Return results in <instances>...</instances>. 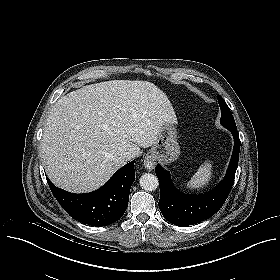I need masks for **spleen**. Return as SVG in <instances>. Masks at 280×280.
<instances>
[{
  "mask_svg": "<svg viewBox=\"0 0 280 280\" xmlns=\"http://www.w3.org/2000/svg\"><path fill=\"white\" fill-rule=\"evenodd\" d=\"M213 177L212 163L206 160L193 175L191 180L186 184L190 190L203 189L206 187Z\"/></svg>",
  "mask_w": 280,
  "mask_h": 280,
  "instance_id": "1",
  "label": "spleen"
}]
</instances>
